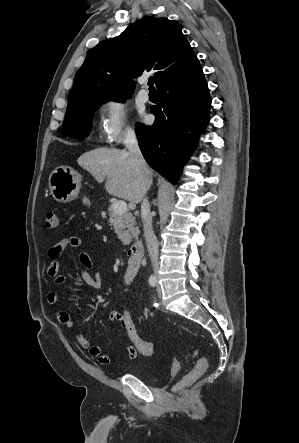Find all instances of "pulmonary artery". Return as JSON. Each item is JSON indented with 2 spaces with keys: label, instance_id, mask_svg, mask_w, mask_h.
<instances>
[{
  "label": "pulmonary artery",
  "instance_id": "pulmonary-artery-1",
  "mask_svg": "<svg viewBox=\"0 0 299 443\" xmlns=\"http://www.w3.org/2000/svg\"><path fill=\"white\" fill-rule=\"evenodd\" d=\"M141 85H146V79H141ZM138 98L142 102H147L149 100V94L146 90H141L138 94Z\"/></svg>",
  "mask_w": 299,
  "mask_h": 443
}]
</instances>
